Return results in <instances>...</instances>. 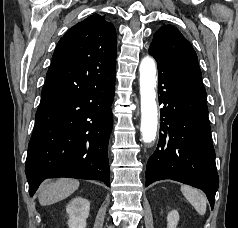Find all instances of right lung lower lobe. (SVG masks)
<instances>
[{"mask_svg":"<svg viewBox=\"0 0 238 228\" xmlns=\"http://www.w3.org/2000/svg\"><path fill=\"white\" fill-rule=\"evenodd\" d=\"M115 77L92 90L40 104L25 173L33 196L46 178L96 179L110 185L108 142Z\"/></svg>","mask_w":238,"mask_h":228,"instance_id":"right-lung-lower-lobe-1","label":"right lung lower lobe"}]
</instances>
